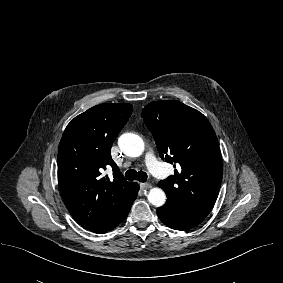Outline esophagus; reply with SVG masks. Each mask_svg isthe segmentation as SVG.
I'll use <instances>...</instances> for the list:
<instances>
[{
    "label": "esophagus",
    "instance_id": "obj_1",
    "mask_svg": "<svg viewBox=\"0 0 283 283\" xmlns=\"http://www.w3.org/2000/svg\"><path fill=\"white\" fill-rule=\"evenodd\" d=\"M140 186L142 189H149L152 187L150 183H141Z\"/></svg>",
    "mask_w": 283,
    "mask_h": 283
}]
</instances>
